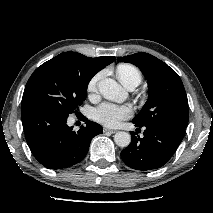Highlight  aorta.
Here are the masks:
<instances>
[{"instance_id":"obj_1","label":"aorta","mask_w":213,"mask_h":213,"mask_svg":"<svg viewBox=\"0 0 213 213\" xmlns=\"http://www.w3.org/2000/svg\"><path fill=\"white\" fill-rule=\"evenodd\" d=\"M98 89L101 95L108 100L122 101L125 98V91L114 79H102L98 83ZM114 142L119 147H127L131 142V136L127 132L119 131L114 135Z\"/></svg>"}]
</instances>
